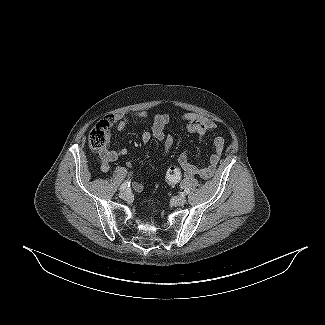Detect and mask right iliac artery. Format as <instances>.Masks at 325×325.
Listing matches in <instances>:
<instances>
[{
    "label": "right iliac artery",
    "instance_id": "right-iliac-artery-1",
    "mask_svg": "<svg viewBox=\"0 0 325 325\" xmlns=\"http://www.w3.org/2000/svg\"><path fill=\"white\" fill-rule=\"evenodd\" d=\"M130 187V181H125L119 188L120 192L124 191L126 188Z\"/></svg>",
    "mask_w": 325,
    "mask_h": 325
}]
</instances>
